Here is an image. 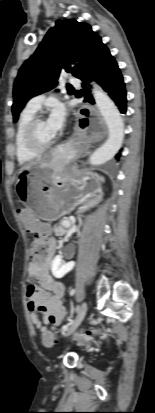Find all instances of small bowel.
I'll return each instance as SVG.
<instances>
[{
	"label": "small bowel",
	"instance_id": "c3829d8e",
	"mask_svg": "<svg viewBox=\"0 0 155 413\" xmlns=\"http://www.w3.org/2000/svg\"><path fill=\"white\" fill-rule=\"evenodd\" d=\"M33 215L32 209L17 207V216L22 218L27 231H37L38 236L46 241L47 256L44 261L32 260L28 265L29 279H37L38 284H30L26 291L31 321L44 333L48 327L58 326L66 317V308L62 301L65 286L53 278L49 271L55 252V240L49 236L50 228L46 225V218H34Z\"/></svg>",
	"mask_w": 155,
	"mask_h": 413
}]
</instances>
